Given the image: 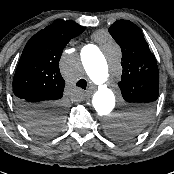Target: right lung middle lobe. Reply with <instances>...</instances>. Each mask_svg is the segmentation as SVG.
<instances>
[{
	"label": "right lung middle lobe",
	"instance_id": "right-lung-middle-lobe-1",
	"mask_svg": "<svg viewBox=\"0 0 174 174\" xmlns=\"http://www.w3.org/2000/svg\"><path fill=\"white\" fill-rule=\"evenodd\" d=\"M62 120V115L59 112H54L50 119L46 122H37L33 124H27L28 128L39 135H50L58 129L57 123Z\"/></svg>",
	"mask_w": 174,
	"mask_h": 174
}]
</instances>
